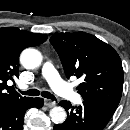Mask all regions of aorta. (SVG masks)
<instances>
[{
  "mask_svg": "<svg viewBox=\"0 0 130 130\" xmlns=\"http://www.w3.org/2000/svg\"><path fill=\"white\" fill-rule=\"evenodd\" d=\"M20 62L26 69H34L42 63L41 53L33 48L25 49L20 55ZM52 122L61 124L66 119V111L62 107H54L50 110Z\"/></svg>",
  "mask_w": 130,
  "mask_h": 130,
  "instance_id": "aorta-1",
  "label": "aorta"
}]
</instances>
